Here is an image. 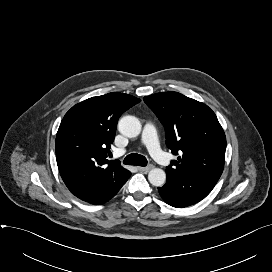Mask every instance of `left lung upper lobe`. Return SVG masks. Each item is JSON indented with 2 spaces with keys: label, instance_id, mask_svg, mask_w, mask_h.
I'll use <instances>...</instances> for the list:
<instances>
[{
  "label": "left lung upper lobe",
  "instance_id": "left-lung-upper-lobe-1",
  "mask_svg": "<svg viewBox=\"0 0 272 272\" xmlns=\"http://www.w3.org/2000/svg\"><path fill=\"white\" fill-rule=\"evenodd\" d=\"M165 128L166 144L178 161L166 168L170 176L190 173L219 180L226 150V137L215 113L204 103L177 92L144 97Z\"/></svg>",
  "mask_w": 272,
  "mask_h": 272
}]
</instances>
